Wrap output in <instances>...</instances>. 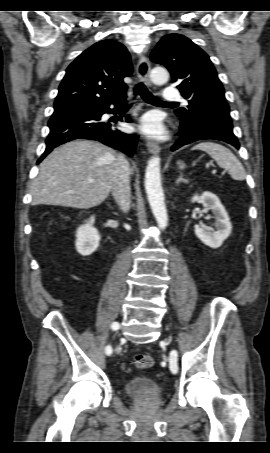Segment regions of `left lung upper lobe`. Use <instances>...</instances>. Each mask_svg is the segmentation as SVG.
Segmentation results:
<instances>
[{
  "instance_id": "1",
  "label": "left lung upper lobe",
  "mask_w": 270,
  "mask_h": 453,
  "mask_svg": "<svg viewBox=\"0 0 270 453\" xmlns=\"http://www.w3.org/2000/svg\"><path fill=\"white\" fill-rule=\"evenodd\" d=\"M151 60L162 64L171 73L187 108L175 111L181 121L201 116L210 125L233 133L229 106L223 86L209 56L187 37L164 36L151 53Z\"/></svg>"
}]
</instances>
